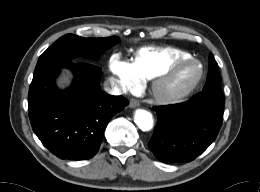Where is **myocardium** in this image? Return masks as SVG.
<instances>
[{
	"label": "myocardium",
	"mask_w": 260,
	"mask_h": 192,
	"mask_svg": "<svg viewBox=\"0 0 260 192\" xmlns=\"http://www.w3.org/2000/svg\"><path fill=\"white\" fill-rule=\"evenodd\" d=\"M187 66H193L197 69V74L195 78L189 84L171 93H161L159 91V88L162 84L173 77L180 69ZM203 75V67L197 60L190 58L180 60L152 79L149 87L150 95L156 102L161 104H170L177 102L190 95L199 86Z\"/></svg>",
	"instance_id": "myocardium-1"
}]
</instances>
